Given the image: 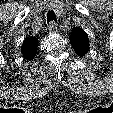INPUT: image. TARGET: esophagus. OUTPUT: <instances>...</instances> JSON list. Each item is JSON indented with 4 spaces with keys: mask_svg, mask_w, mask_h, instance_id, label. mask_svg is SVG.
<instances>
[{
    "mask_svg": "<svg viewBox=\"0 0 113 113\" xmlns=\"http://www.w3.org/2000/svg\"><path fill=\"white\" fill-rule=\"evenodd\" d=\"M47 32L49 34H53L57 32V26L55 24V22H50V24L47 27Z\"/></svg>",
    "mask_w": 113,
    "mask_h": 113,
    "instance_id": "esophagus-1",
    "label": "esophagus"
}]
</instances>
